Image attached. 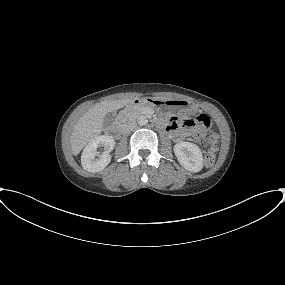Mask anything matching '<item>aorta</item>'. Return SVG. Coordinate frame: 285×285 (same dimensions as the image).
<instances>
[{"label":"aorta","instance_id":"1","mask_svg":"<svg viewBox=\"0 0 285 285\" xmlns=\"http://www.w3.org/2000/svg\"><path fill=\"white\" fill-rule=\"evenodd\" d=\"M137 122H138V124H139L140 126H144V125L147 124L148 119H147L145 116H140V117L138 118Z\"/></svg>","mask_w":285,"mask_h":285}]
</instances>
